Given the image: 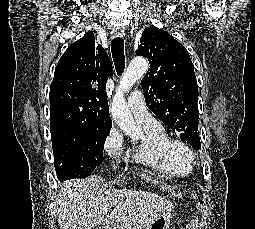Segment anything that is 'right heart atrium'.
Returning a JSON list of instances; mask_svg holds the SVG:
<instances>
[{"label": "right heart atrium", "mask_w": 255, "mask_h": 229, "mask_svg": "<svg viewBox=\"0 0 255 229\" xmlns=\"http://www.w3.org/2000/svg\"><path fill=\"white\" fill-rule=\"evenodd\" d=\"M123 146V139L117 130H112L104 143V151L110 157L118 155Z\"/></svg>", "instance_id": "1"}]
</instances>
